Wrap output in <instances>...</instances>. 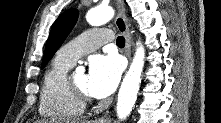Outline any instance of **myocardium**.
Segmentation results:
<instances>
[{"label": "myocardium", "instance_id": "myocardium-1", "mask_svg": "<svg viewBox=\"0 0 221 123\" xmlns=\"http://www.w3.org/2000/svg\"><path fill=\"white\" fill-rule=\"evenodd\" d=\"M67 84L71 93L84 105L90 104L94 101V97L90 94L85 93L80 88L76 86L72 78H67Z\"/></svg>", "mask_w": 221, "mask_h": 123}]
</instances>
